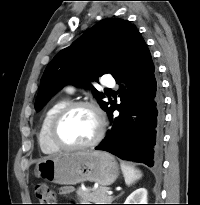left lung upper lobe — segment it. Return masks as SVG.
Masks as SVG:
<instances>
[{
    "label": "left lung upper lobe",
    "mask_w": 200,
    "mask_h": 205,
    "mask_svg": "<svg viewBox=\"0 0 200 205\" xmlns=\"http://www.w3.org/2000/svg\"><path fill=\"white\" fill-rule=\"evenodd\" d=\"M138 31L128 21L107 18L90 28L69 47L61 50L42 76L35 109L40 110L65 84L88 86L87 80L106 73L113 75ZM95 98L107 111L109 102L96 91Z\"/></svg>",
    "instance_id": "1"
}]
</instances>
